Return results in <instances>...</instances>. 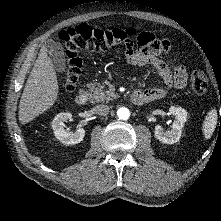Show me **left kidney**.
Wrapping results in <instances>:
<instances>
[{
  "label": "left kidney",
  "mask_w": 221,
  "mask_h": 221,
  "mask_svg": "<svg viewBox=\"0 0 221 221\" xmlns=\"http://www.w3.org/2000/svg\"><path fill=\"white\" fill-rule=\"evenodd\" d=\"M169 114L174 116L172 129L164 131L160 125L155 127L156 138L165 144H174L179 141L182 128L187 120V111L181 107H170Z\"/></svg>",
  "instance_id": "5707ae66"
}]
</instances>
